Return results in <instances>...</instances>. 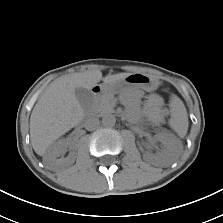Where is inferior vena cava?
<instances>
[{
	"mask_svg": "<svg viewBox=\"0 0 223 223\" xmlns=\"http://www.w3.org/2000/svg\"><path fill=\"white\" fill-rule=\"evenodd\" d=\"M100 124V121L96 117H90L85 121V128L87 130H94L96 129Z\"/></svg>",
	"mask_w": 223,
	"mask_h": 223,
	"instance_id": "obj_1",
	"label": "inferior vena cava"
}]
</instances>
